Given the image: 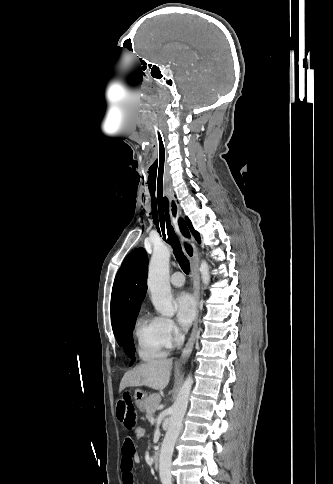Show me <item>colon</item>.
Returning a JSON list of instances; mask_svg holds the SVG:
<instances>
[{
  "label": "colon",
  "instance_id": "5ec220e1",
  "mask_svg": "<svg viewBox=\"0 0 333 484\" xmlns=\"http://www.w3.org/2000/svg\"><path fill=\"white\" fill-rule=\"evenodd\" d=\"M133 435L136 440H142L146 436V428L142 425H137L133 430Z\"/></svg>",
  "mask_w": 333,
  "mask_h": 484
}]
</instances>
